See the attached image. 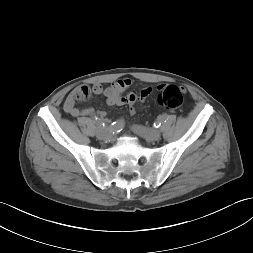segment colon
<instances>
[{
  "label": "colon",
  "mask_w": 253,
  "mask_h": 253,
  "mask_svg": "<svg viewBox=\"0 0 253 253\" xmlns=\"http://www.w3.org/2000/svg\"><path fill=\"white\" fill-rule=\"evenodd\" d=\"M89 97L90 90L88 87H81L73 93L72 103L75 105L76 103L87 101ZM158 103L170 111L179 109L183 103L182 90L175 85L161 87L158 95Z\"/></svg>",
  "instance_id": "5ec220e1"
}]
</instances>
